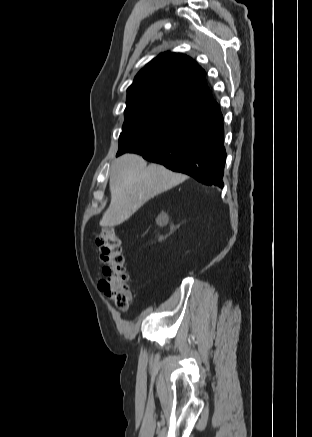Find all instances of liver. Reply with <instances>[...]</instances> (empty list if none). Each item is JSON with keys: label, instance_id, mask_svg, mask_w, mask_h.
<instances>
[{"label": "liver", "instance_id": "liver-1", "mask_svg": "<svg viewBox=\"0 0 312 437\" xmlns=\"http://www.w3.org/2000/svg\"><path fill=\"white\" fill-rule=\"evenodd\" d=\"M187 176L174 173L136 154L117 158L110 169L111 202L102 226H117L129 219L148 200L179 185Z\"/></svg>", "mask_w": 312, "mask_h": 437}]
</instances>
